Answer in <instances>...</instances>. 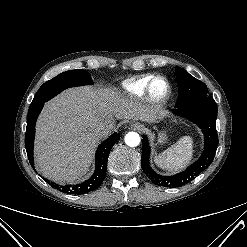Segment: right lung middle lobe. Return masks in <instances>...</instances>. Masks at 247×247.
I'll list each match as a JSON object with an SVG mask.
<instances>
[{
	"label": "right lung middle lobe",
	"instance_id": "right-lung-middle-lobe-1",
	"mask_svg": "<svg viewBox=\"0 0 247 247\" xmlns=\"http://www.w3.org/2000/svg\"><path fill=\"white\" fill-rule=\"evenodd\" d=\"M90 74L85 70H70L63 72L53 79L45 82L37 91L30 107L44 104L61 91L75 86L90 85Z\"/></svg>",
	"mask_w": 247,
	"mask_h": 247
}]
</instances>
